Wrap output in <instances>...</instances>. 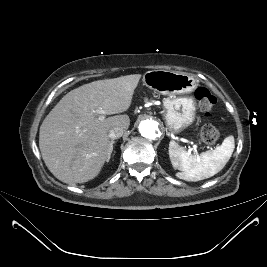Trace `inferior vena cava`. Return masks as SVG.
Masks as SVG:
<instances>
[{"instance_id": "inferior-vena-cava-1", "label": "inferior vena cava", "mask_w": 267, "mask_h": 267, "mask_svg": "<svg viewBox=\"0 0 267 267\" xmlns=\"http://www.w3.org/2000/svg\"><path fill=\"white\" fill-rule=\"evenodd\" d=\"M124 129L122 127H114L109 130L108 136L111 139H117L122 136Z\"/></svg>"}]
</instances>
